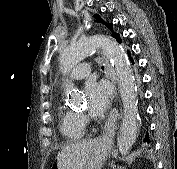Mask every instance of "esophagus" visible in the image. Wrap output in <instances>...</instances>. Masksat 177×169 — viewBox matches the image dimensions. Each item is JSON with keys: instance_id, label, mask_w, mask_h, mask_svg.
Segmentation results:
<instances>
[{"instance_id": "esophagus-1", "label": "esophagus", "mask_w": 177, "mask_h": 169, "mask_svg": "<svg viewBox=\"0 0 177 169\" xmlns=\"http://www.w3.org/2000/svg\"><path fill=\"white\" fill-rule=\"evenodd\" d=\"M104 61H105V65H106L107 76L111 79V81L115 85L116 82H115L114 77L112 75L111 66L109 65V63L106 59H104ZM112 88H113L112 90L114 91L115 87L113 86ZM119 95H120V92H113V94H112L111 113H110V116H109L108 120L105 123L103 133L100 136V140H103V139L105 140L114 131L115 123H116L117 118H118V99H119Z\"/></svg>"}]
</instances>
